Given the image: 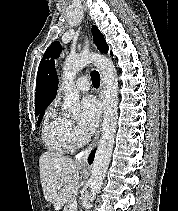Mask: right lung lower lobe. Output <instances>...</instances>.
Wrapping results in <instances>:
<instances>
[{
  "mask_svg": "<svg viewBox=\"0 0 178 211\" xmlns=\"http://www.w3.org/2000/svg\"><path fill=\"white\" fill-rule=\"evenodd\" d=\"M94 155H95V151H93V152L90 154V156H89V159H88L89 164L92 163L93 158H94Z\"/></svg>",
  "mask_w": 178,
  "mask_h": 211,
  "instance_id": "right-lung-lower-lobe-1",
  "label": "right lung lower lobe"
}]
</instances>
